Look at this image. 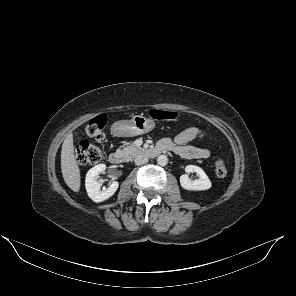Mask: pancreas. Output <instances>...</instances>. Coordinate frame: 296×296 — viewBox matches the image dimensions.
Instances as JSON below:
<instances>
[{
    "label": "pancreas",
    "mask_w": 296,
    "mask_h": 296,
    "mask_svg": "<svg viewBox=\"0 0 296 296\" xmlns=\"http://www.w3.org/2000/svg\"><path fill=\"white\" fill-rule=\"evenodd\" d=\"M118 151L120 153L123 154V156L126 159H131L132 157H134L137 154H140L142 152H144V149L142 147H138L135 144H129L126 147H123L122 149H118Z\"/></svg>",
    "instance_id": "pancreas-1"
}]
</instances>
